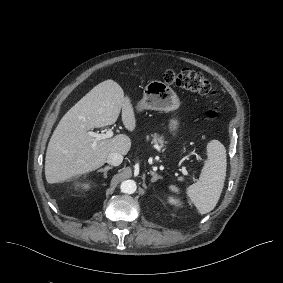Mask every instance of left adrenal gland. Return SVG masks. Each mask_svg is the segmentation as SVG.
Masks as SVG:
<instances>
[{"mask_svg":"<svg viewBox=\"0 0 283 283\" xmlns=\"http://www.w3.org/2000/svg\"><path fill=\"white\" fill-rule=\"evenodd\" d=\"M148 174L152 175L151 182L155 181L158 178H162L161 174H158V173H156V172H154L152 170L150 172H148Z\"/></svg>","mask_w":283,"mask_h":283,"instance_id":"a2214340","label":"left adrenal gland"}]
</instances>
